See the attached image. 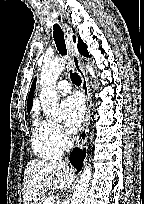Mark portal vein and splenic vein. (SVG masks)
Listing matches in <instances>:
<instances>
[{
  "mask_svg": "<svg viewBox=\"0 0 144 204\" xmlns=\"http://www.w3.org/2000/svg\"><path fill=\"white\" fill-rule=\"evenodd\" d=\"M54 197H48L43 204H54Z\"/></svg>",
  "mask_w": 144,
  "mask_h": 204,
  "instance_id": "18ae733b",
  "label": "portal vein and splenic vein"
}]
</instances>
